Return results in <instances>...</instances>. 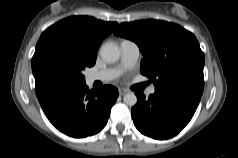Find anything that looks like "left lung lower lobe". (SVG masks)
<instances>
[{"label":"left lung lower lobe","mask_w":238,"mask_h":158,"mask_svg":"<svg viewBox=\"0 0 238 158\" xmlns=\"http://www.w3.org/2000/svg\"><path fill=\"white\" fill-rule=\"evenodd\" d=\"M203 89L204 79L191 78L155 88L148 99L135 92L138 102L131 113L136 128L154 139L175 136L194 115Z\"/></svg>","instance_id":"0a47b994"}]
</instances>
